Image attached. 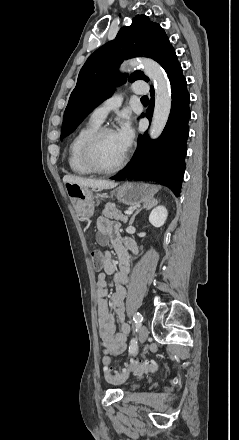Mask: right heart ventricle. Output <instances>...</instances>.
<instances>
[{
	"mask_svg": "<svg viewBox=\"0 0 239 440\" xmlns=\"http://www.w3.org/2000/svg\"><path fill=\"white\" fill-rule=\"evenodd\" d=\"M99 123L89 120L71 138L68 146L67 161L72 172L79 175H91L83 159V146L87 138L99 127Z\"/></svg>",
	"mask_w": 239,
	"mask_h": 440,
	"instance_id": "right-heart-ventricle-1",
	"label": "right heart ventricle"
}]
</instances>
